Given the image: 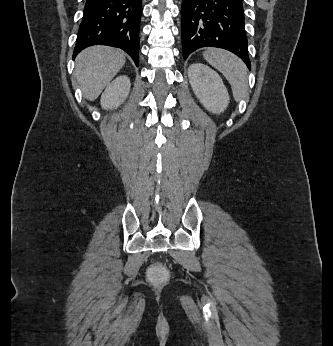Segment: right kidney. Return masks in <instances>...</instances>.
Here are the masks:
<instances>
[{"label":"right kidney","instance_id":"1","mask_svg":"<svg viewBox=\"0 0 333 346\" xmlns=\"http://www.w3.org/2000/svg\"><path fill=\"white\" fill-rule=\"evenodd\" d=\"M130 79L121 75L113 80L101 96V106L104 109H115L127 98L130 91Z\"/></svg>","mask_w":333,"mask_h":346}]
</instances>
